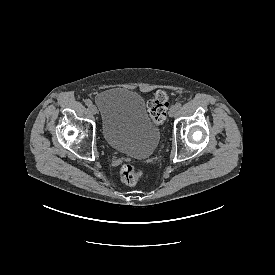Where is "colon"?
Segmentation results:
<instances>
[{
    "label": "colon",
    "instance_id": "1",
    "mask_svg": "<svg viewBox=\"0 0 275 275\" xmlns=\"http://www.w3.org/2000/svg\"><path fill=\"white\" fill-rule=\"evenodd\" d=\"M147 109L153 123L160 125L166 120L168 109V96L164 91H158L147 103ZM121 181L128 186H135L139 183L142 173L132 163H127L121 166L120 171Z\"/></svg>",
    "mask_w": 275,
    "mask_h": 275
}]
</instances>
